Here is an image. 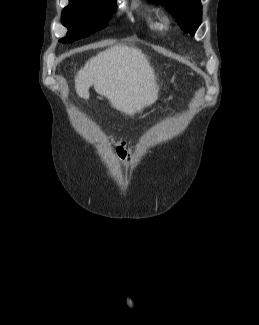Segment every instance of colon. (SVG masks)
I'll return each instance as SVG.
<instances>
[{
	"instance_id": "5ec220e1",
	"label": "colon",
	"mask_w": 259,
	"mask_h": 325,
	"mask_svg": "<svg viewBox=\"0 0 259 325\" xmlns=\"http://www.w3.org/2000/svg\"><path fill=\"white\" fill-rule=\"evenodd\" d=\"M112 146L117 156L121 159H127L133 156V147L124 140L113 139Z\"/></svg>"
}]
</instances>
